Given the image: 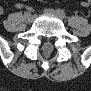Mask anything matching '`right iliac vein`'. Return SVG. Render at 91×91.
Here are the masks:
<instances>
[{"mask_svg":"<svg viewBox=\"0 0 91 91\" xmlns=\"http://www.w3.org/2000/svg\"><path fill=\"white\" fill-rule=\"evenodd\" d=\"M25 19L28 23H32L35 20V17L31 14H26Z\"/></svg>","mask_w":91,"mask_h":91,"instance_id":"63e3f726","label":"right iliac vein"}]
</instances>
